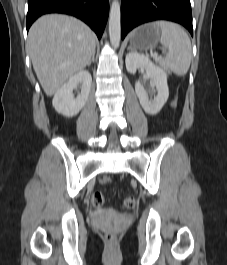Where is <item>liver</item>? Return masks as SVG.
<instances>
[{"label":"liver","mask_w":227,"mask_h":265,"mask_svg":"<svg viewBox=\"0 0 227 265\" xmlns=\"http://www.w3.org/2000/svg\"><path fill=\"white\" fill-rule=\"evenodd\" d=\"M28 48L34 71L47 96L54 95L95 53V36L82 21L49 14L31 26Z\"/></svg>","instance_id":"liver-1"}]
</instances>
